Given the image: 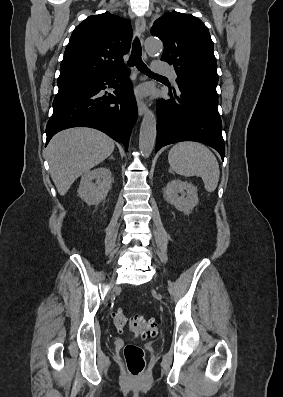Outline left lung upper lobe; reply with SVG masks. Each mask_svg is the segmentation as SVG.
I'll use <instances>...</instances> for the list:
<instances>
[{
    "label": "left lung upper lobe",
    "mask_w": 283,
    "mask_h": 397,
    "mask_svg": "<svg viewBox=\"0 0 283 397\" xmlns=\"http://www.w3.org/2000/svg\"><path fill=\"white\" fill-rule=\"evenodd\" d=\"M151 34L163 41L161 60L174 66L178 87L218 97L213 41L208 28L200 19L191 14L166 12L155 21Z\"/></svg>",
    "instance_id": "5c2ea615"
}]
</instances>
